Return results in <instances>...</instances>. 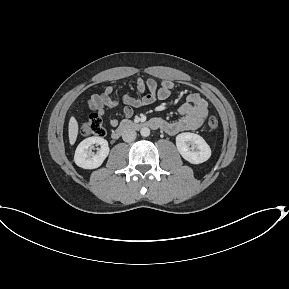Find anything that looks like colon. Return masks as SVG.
<instances>
[{"instance_id": "5ec220e1", "label": "colon", "mask_w": 289, "mask_h": 289, "mask_svg": "<svg viewBox=\"0 0 289 289\" xmlns=\"http://www.w3.org/2000/svg\"><path fill=\"white\" fill-rule=\"evenodd\" d=\"M219 122L216 117H210L207 120V129L209 132H214L218 128ZM81 134L83 136H102L105 133L102 120L98 115H92L90 118L81 126Z\"/></svg>"}]
</instances>
